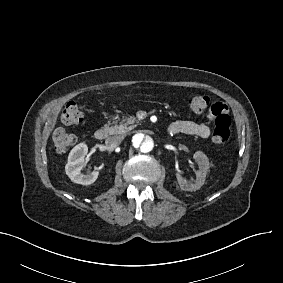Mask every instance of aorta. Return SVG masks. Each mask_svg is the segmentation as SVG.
<instances>
[{"instance_id":"obj_1","label":"aorta","mask_w":283,"mask_h":283,"mask_svg":"<svg viewBox=\"0 0 283 283\" xmlns=\"http://www.w3.org/2000/svg\"><path fill=\"white\" fill-rule=\"evenodd\" d=\"M155 148L154 139L144 131L137 132L133 135L130 142V149L137 154L150 153Z\"/></svg>"}]
</instances>
